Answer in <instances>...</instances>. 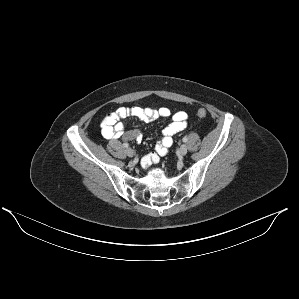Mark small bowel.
Masks as SVG:
<instances>
[{
  "label": "small bowel",
  "mask_w": 299,
  "mask_h": 299,
  "mask_svg": "<svg viewBox=\"0 0 299 299\" xmlns=\"http://www.w3.org/2000/svg\"><path fill=\"white\" fill-rule=\"evenodd\" d=\"M134 116L144 121H153L159 117H171V122L162 130V138L156 144L154 151L142 159V166L149 167L159 163L161 158L165 157L173 145V136L186 127L187 114L183 111L174 114L166 107L159 109L134 106L118 107L114 112L108 115L102 124V134L107 139H122L125 141L140 142L142 133L138 129L125 130L122 122L123 118Z\"/></svg>",
  "instance_id": "small-bowel-1"
}]
</instances>
